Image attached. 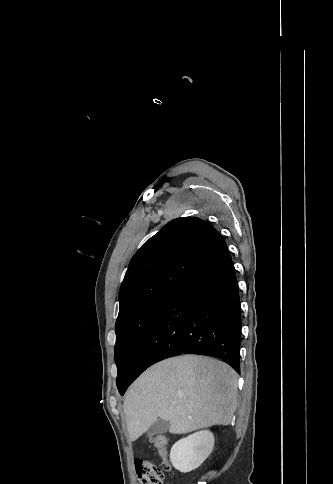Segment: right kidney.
<instances>
[{"label": "right kidney", "instance_id": "obj_1", "mask_svg": "<svg viewBox=\"0 0 333 484\" xmlns=\"http://www.w3.org/2000/svg\"><path fill=\"white\" fill-rule=\"evenodd\" d=\"M214 436L208 431H199L177 441L170 452L172 465L186 473L197 469L211 454Z\"/></svg>", "mask_w": 333, "mask_h": 484}]
</instances>
